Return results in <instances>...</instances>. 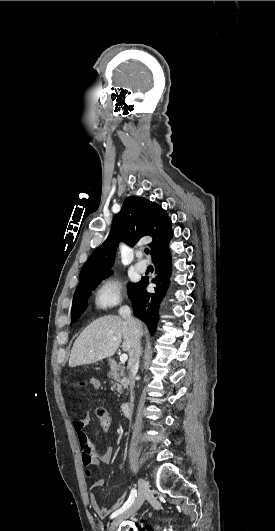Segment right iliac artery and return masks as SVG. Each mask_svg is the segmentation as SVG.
I'll return each mask as SVG.
<instances>
[{
  "label": "right iliac artery",
  "instance_id": "obj_1",
  "mask_svg": "<svg viewBox=\"0 0 275 531\" xmlns=\"http://www.w3.org/2000/svg\"><path fill=\"white\" fill-rule=\"evenodd\" d=\"M136 497H137V491H136L135 488H133L131 490V494L129 496V499L125 502V504L120 509H118L117 511H115L111 515V518H114V517L120 515L121 513H123L125 510H127L132 505V503L134 502Z\"/></svg>",
  "mask_w": 275,
  "mask_h": 531
}]
</instances>
